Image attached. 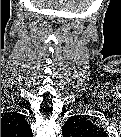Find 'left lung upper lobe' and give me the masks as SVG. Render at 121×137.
<instances>
[{
    "instance_id": "1",
    "label": "left lung upper lobe",
    "mask_w": 121,
    "mask_h": 137,
    "mask_svg": "<svg viewBox=\"0 0 121 137\" xmlns=\"http://www.w3.org/2000/svg\"><path fill=\"white\" fill-rule=\"evenodd\" d=\"M92 133L96 135H106L104 130L97 127L92 122L88 121L85 117L73 116L65 123L62 133Z\"/></svg>"
}]
</instances>
